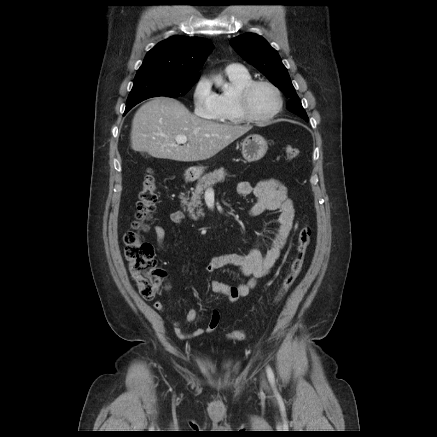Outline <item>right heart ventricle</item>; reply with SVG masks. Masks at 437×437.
Here are the masks:
<instances>
[{
    "mask_svg": "<svg viewBox=\"0 0 437 437\" xmlns=\"http://www.w3.org/2000/svg\"><path fill=\"white\" fill-rule=\"evenodd\" d=\"M225 76L230 86L216 94L218 111L214 119L226 124L244 123L246 120L239 111L237 97L239 91L253 80L252 76L242 67L227 68Z\"/></svg>",
    "mask_w": 437,
    "mask_h": 437,
    "instance_id": "right-heart-ventricle-1",
    "label": "right heart ventricle"
}]
</instances>
